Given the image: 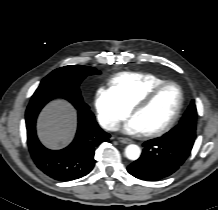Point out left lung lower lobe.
Masks as SVG:
<instances>
[{
    "label": "left lung lower lobe",
    "mask_w": 218,
    "mask_h": 210,
    "mask_svg": "<svg viewBox=\"0 0 218 210\" xmlns=\"http://www.w3.org/2000/svg\"><path fill=\"white\" fill-rule=\"evenodd\" d=\"M176 137L163 135L146 141L141 157L127 167L136 178L156 181L174 173L187 159L195 136L183 128Z\"/></svg>",
    "instance_id": "0a47b994"
}]
</instances>
